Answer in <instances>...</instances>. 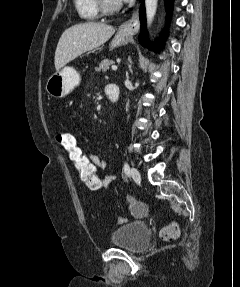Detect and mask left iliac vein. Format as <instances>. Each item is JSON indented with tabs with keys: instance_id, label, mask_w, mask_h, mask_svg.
Segmentation results:
<instances>
[{
	"instance_id": "obj_1",
	"label": "left iliac vein",
	"mask_w": 240,
	"mask_h": 287,
	"mask_svg": "<svg viewBox=\"0 0 240 287\" xmlns=\"http://www.w3.org/2000/svg\"><path fill=\"white\" fill-rule=\"evenodd\" d=\"M131 177L135 181H140V179H141L140 173H139V171L136 168H132L131 169Z\"/></svg>"
}]
</instances>
